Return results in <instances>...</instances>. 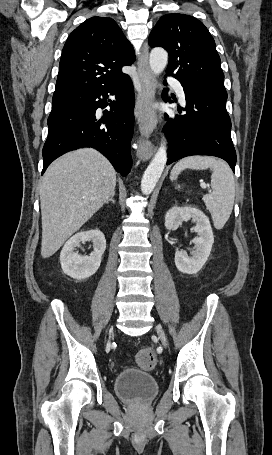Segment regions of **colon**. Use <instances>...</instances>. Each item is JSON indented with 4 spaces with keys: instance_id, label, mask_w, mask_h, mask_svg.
<instances>
[{
    "instance_id": "1",
    "label": "colon",
    "mask_w": 272,
    "mask_h": 455,
    "mask_svg": "<svg viewBox=\"0 0 272 455\" xmlns=\"http://www.w3.org/2000/svg\"><path fill=\"white\" fill-rule=\"evenodd\" d=\"M135 361L139 368L149 370L155 366L156 356L152 349L143 348L137 353Z\"/></svg>"
}]
</instances>
